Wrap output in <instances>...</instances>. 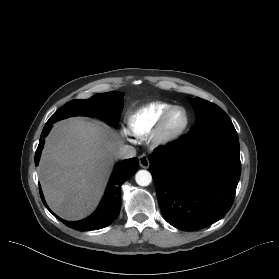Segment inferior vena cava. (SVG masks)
Listing matches in <instances>:
<instances>
[{
  "label": "inferior vena cava",
  "instance_id": "inferior-vena-cava-1",
  "mask_svg": "<svg viewBox=\"0 0 279 279\" xmlns=\"http://www.w3.org/2000/svg\"><path fill=\"white\" fill-rule=\"evenodd\" d=\"M115 155L119 159H129L136 156V150L133 146L121 145Z\"/></svg>",
  "mask_w": 279,
  "mask_h": 279
}]
</instances>
